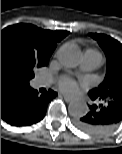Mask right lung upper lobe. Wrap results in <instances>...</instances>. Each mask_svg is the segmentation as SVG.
Listing matches in <instances>:
<instances>
[{
  "label": "right lung upper lobe",
  "mask_w": 122,
  "mask_h": 154,
  "mask_svg": "<svg viewBox=\"0 0 122 154\" xmlns=\"http://www.w3.org/2000/svg\"><path fill=\"white\" fill-rule=\"evenodd\" d=\"M68 34L69 32L67 31L44 30L24 23L8 26L1 31V36L13 35L17 37L30 52L44 61H49L57 42ZM15 87L11 82L1 78V92Z\"/></svg>",
  "instance_id": "1"
}]
</instances>
